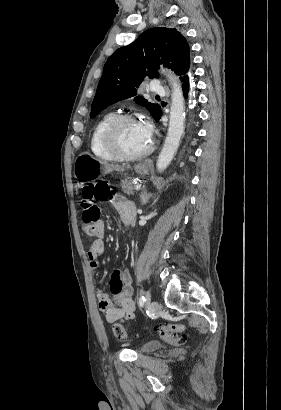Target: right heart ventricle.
I'll return each instance as SVG.
<instances>
[{
  "mask_svg": "<svg viewBox=\"0 0 281 410\" xmlns=\"http://www.w3.org/2000/svg\"><path fill=\"white\" fill-rule=\"evenodd\" d=\"M115 117L112 112L105 113L95 123L89 139V147L92 154L99 159L106 161H114L117 158L111 154L104 146L103 132L111 120Z\"/></svg>",
  "mask_w": 281,
  "mask_h": 410,
  "instance_id": "right-heart-ventricle-1",
  "label": "right heart ventricle"
}]
</instances>
